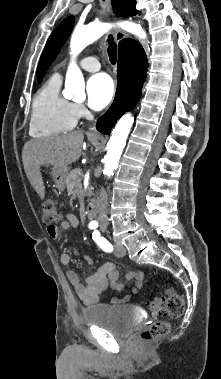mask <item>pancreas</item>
Returning <instances> with one entry per match:
<instances>
[{
    "label": "pancreas",
    "mask_w": 221,
    "mask_h": 379,
    "mask_svg": "<svg viewBox=\"0 0 221 379\" xmlns=\"http://www.w3.org/2000/svg\"><path fill=\"white\" fill-rule=\"evenodd\" d=\"M81 181H82V170L80 168H76V169L72 170L67 175V178H66L67 190L69 192L84 195ZM86 195L87 196L92 195V187L91 186L89 187Z\"/></svg>",
    "instance_id": "pancreas-1"
}]
</instances>
